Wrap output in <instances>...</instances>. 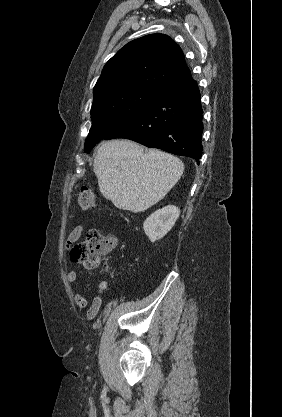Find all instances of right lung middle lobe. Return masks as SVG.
<instances>
[{"instance_id":"1","label":"right lung middle lobe","mask_w":282,"mask_h":417,"mask_svg":"<svg viewBox=\"0 0 282 417\" xmlns=\"http://www.w3.org/2000/svg\"><path fill=\"white\" fill-rule=\"evenodd\" d=\"M158 92L127 89L94 96L91 108L92 127L84 151L91 149L109 133L148 104Z\"/></svg>"}]
</instances>
